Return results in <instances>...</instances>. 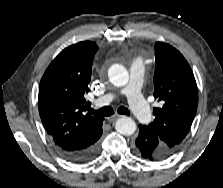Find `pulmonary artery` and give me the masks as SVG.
Returning a JSON list of instances; mask_svg holds the SVG:
<instances>
[{
    "label": "pulmonary artery",
    "instance_id": "e3ab8cb5",
    "mask_svg": "<svg viewBox=\"0 0 223 188\" xmlns=\"http://www.w3.org/2000/svg\"><path fill=\"white\" fill-rule=\"evenodd\" d=\"M144 72L145 63L143 59H134L130 66V82L128 86L121 91V93L127 96L130 107L138 120L142 123H149L151 121L152 114L142 94ZM114 98V94L107 93L100 96L96 100V104L99 106H105Z\"/></svg>",
    "mask_w": 223,
    "mask_h": 188
}]
</instances>
